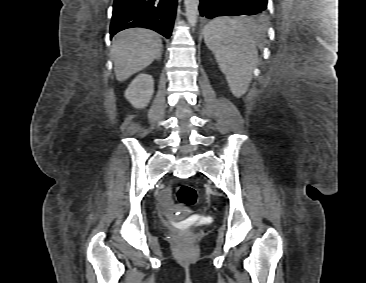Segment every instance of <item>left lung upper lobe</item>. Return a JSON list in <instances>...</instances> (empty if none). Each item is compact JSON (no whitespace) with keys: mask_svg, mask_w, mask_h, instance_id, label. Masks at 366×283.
<instances>
[{"mask_svg":"<svg viewBox=\"0 0 366 283\" xmlns=\"http://www.w3.org/2000/svg\"><path fill=\"white\" fill-rule=\"evenodd\" d=\"M265 14H266V13H262V14H260V15H258V16H255L254 18H256V19H258V18H263V17L265 16Z\"/></svg>","mask_w":366,"mask_h":283,"instance_id":"1","label":"left lung upper lobe"}]
</instances>
